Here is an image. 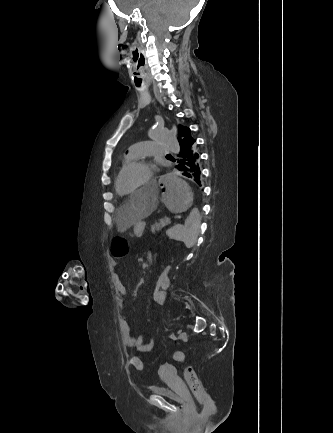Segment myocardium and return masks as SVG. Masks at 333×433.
Listing matches in <instances>:
<instances>
[{
	"label": "myocardium",
	"mask_w": 333,
	"mask_h": 433,
	"mask_svg": "<svg viewBox=\"0 0 333 433\" xmlns=\"http://www.w3.org/2000/svg\"><path fill=\"white\" fill-rule=\"evenodd\" d=\"M139 166H143V167H147L149 168V175L147 177V179L140 185L138 186L135 190L130 191V192H123L120 188V180L123 177V175L130 169L135 168V167H139ZM152 171H153V166L151 165V163L145 159H138V160H133L132 162H130L129 164H127L119 173V175L117 176L116 179V190L120 195L123 196H129V195H133L135 194L139 189L145 188L147 186H149L151 184V177H152Z\"/></svg>",
	"instance_id": "obj_1"
}]
</instances>
